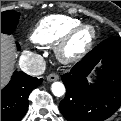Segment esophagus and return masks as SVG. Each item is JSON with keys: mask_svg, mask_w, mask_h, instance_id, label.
I'll list each match as a JSON object with an SVG mask.
<instances>
[{"mask_svg": "<svg viewBox=\"0 0 121 121\" xmlns=\"http://www.w3.org/2000/svg\"><path fill=\"white\" fill-rule=\"evenodd\" d=\"M58 79L59 76L56 73H51L50 75L47 76V81L49 82L57 81Z\"/></svg>", "mask_w": 121, "mask_h": 121, "instance_id": "esophagus-1", "label": "esophagus"}]
</instances>
